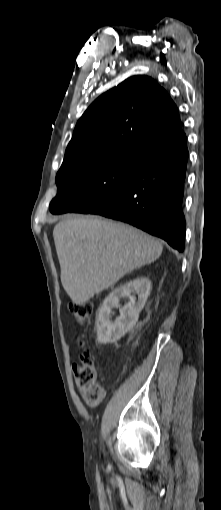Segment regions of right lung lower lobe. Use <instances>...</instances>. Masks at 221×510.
I'll return each mask as SVG.
<instances>
[{
  "instance_id": "98d812e1",
  "label": "right lung lower lobe",
  "mask_w": 221,
  "mask_h": 510,
  "mask_svg": "<svg viewBox=\"0 0 221 510\" xmlns=\"http://www.w3.org/2000/svg\"><path fill=\"white\" fill-rule=\"evenodd\" d=\"M188 160L183 134L153 147L127 187L109 202L73 212L98 214L127 222L184 250L182 211Z\"/></svg>"
}]
</instances>
